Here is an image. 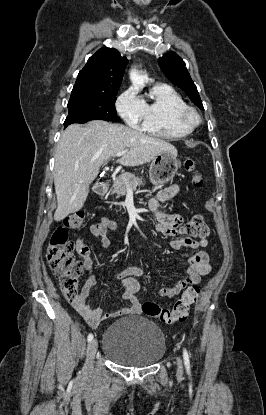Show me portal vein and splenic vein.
<instances>
[{"mask_svg": "<svg viewBox=\"0 0 266 415\" xmlns=\"http://www.w3.org/2000/svg\"><path fill=\"white\" fill-rule=\"evenodd\" d=\"M125 153H126V150H123V151H118V152L115 154V156H117V157H119V156H123ZM125 184H128V181H127V180H125Z\"/></svg>", "mask_w": 266, "mask_h": 415, "instance_id": "obj_1", "label": "portal vein and splenic vein"}]
</instances>
